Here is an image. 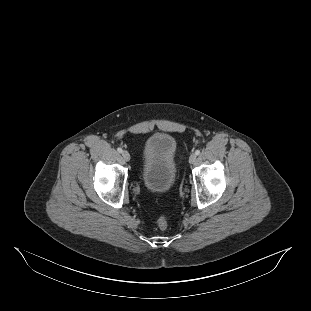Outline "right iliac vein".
Instances as JSON below:
<instances>
[{
	"instance_id": "right-iliac-vein-1",
	"label": "right iliac vein",
	"mask_w": 311,
	"mask_h": 311,
	"mask_svg": "<svg viewBox=\"0 0 311 311\" xmlns=\"http://www.w3.org/2000/svg\"><path fill=\"white\" fill-rule=\"evenodd\" d=\"M122 157L125 161H129L130 160V154L128 151H123L122 152Z\"/></svg>"
}]
</instances>
